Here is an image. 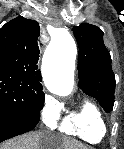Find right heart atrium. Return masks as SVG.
Returning <instances> with one entry per match:
<instances>
[{"label":"right heart atrium","instance_id":"right-heart-atrium-1","mask_svg":"<svg viewBox=\"0 0 124 149\" xmlns=\"http://www.w3.org/2000/svg\"><path fill=\"white\" fill-rule=\"evenodd\" d=\"M59 111L58 105L51 98L47 97L40 110L42 123L48 128H55L59 120Z\"/></svg>","mask_w":124,"mask_h":149}]
</instances>
